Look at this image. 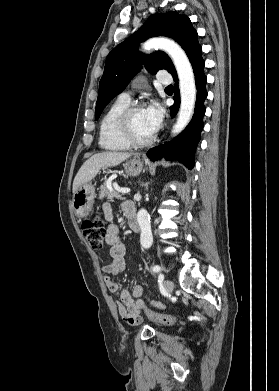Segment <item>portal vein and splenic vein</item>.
Segmentation results:
<instances>
[{"instance_id":"1","label":"portal vein and splenic vein","mask_w":279,"mask_h":391,"mask_svg":"<svg viewBox=\"0 0 279 391\" xmlns=\"http://www.w3.org/2000/svg\"><path fill=\"white\" fill-rule=\"evenodd\" d=\"M116 190L118 192H120L121 194H128L130 192V189L128 188H120V187H116Z\"/></svg>"}]
</instances>
